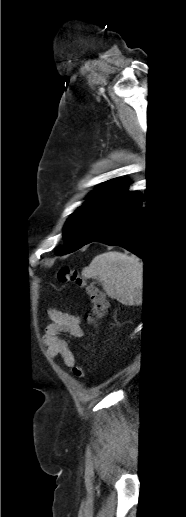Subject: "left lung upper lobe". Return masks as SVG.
<instances>
[{
	"instance_id": "left-lung-upper-lobe-1",
	"label": "left lung upper lobe",
	"mask_w": 186,
	"mask_h": 517,
	"mask_svg": "<svg viewBox=\"0 0 186 517\" xmlns=\"http://www.w3.org/2000/svg\"><path fill=\"white\" fill-rule=\"evenodd\" d=\"M127 185L124 180L116 178L92 192L88 202L73 212L67 220L63 233L67 245L60 248L57 254H67L86 245L98 222L127 192Z\"/></svg>"
}]
</instances>
